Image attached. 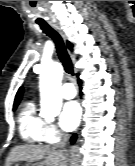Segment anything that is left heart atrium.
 I'll list each match as a JSON object with an SVG mask.
<instances>
[{"label": "left heart atrium", "mask_w": 135, "mask_h": 166, "mask_svg": "<svg viewBox=\"0 0 135 166\" xmlns=\"http://www.w3.org/2000/svg\"><path fill=\"white\" fill-rule=\"evenodd\" d=\"M81 116V109L76 101H69L63 106L60 117L59 124L64 131L73 130L79 123Z\"/></svg>", "instance_id": "39dd6f15"}]
</instances>
